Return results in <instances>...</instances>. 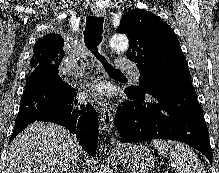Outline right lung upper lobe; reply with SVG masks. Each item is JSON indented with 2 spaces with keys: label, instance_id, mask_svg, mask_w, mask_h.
Segmentation results:
<instances>
[{
  "label": "right lung upper lobe",
  "instance_id": "right-lung-upper-lobe-1",
  "mask_svg": "<svg viewBox=\"0 0 219 173\" xmlns=\"http://www.w3.org/2000/svg\"><path fill=\"white\" fill-rule=\"evenodd\" d=\"M64 41L61 35L48 33L43 35L35 43L30 65L42 63H61L65 52Z\"/></svg>",
  "mask_w": 219,
  "mask_h": 173
}]
</instances>
